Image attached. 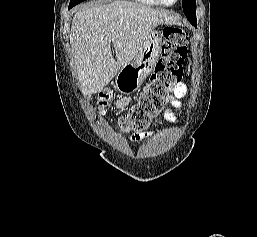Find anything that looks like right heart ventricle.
Listing matches in <instances>:
<instances>
[{"label":"right heart ventricle","instance_id":"obj_1","mask_svg":"<svg viewBox=\"0 0 257 237\" xmlns=\"http://www.w3.org/2000/svg\"><path fill=\"white\" fill-rule=\"evenodd\" d=\"M138 3L144 4V5H150V6H158L162 5L159 0H135Z\"/></svg>","mask_w":257,"mask_h":237}]
</instances>
